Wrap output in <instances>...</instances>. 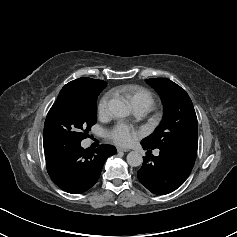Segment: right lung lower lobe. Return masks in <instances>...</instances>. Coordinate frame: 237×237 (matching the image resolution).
I'll return each instance as SVG.
<instances>
[{"mask_svg": "<svg viewBox=\"0 0 237 237\" xmlns=\"http://www.w3.org/2000/svg\"><path fill=\"white\" fill-rule=\"evenodd\" d=\"M81 142L44 137L47 171L51 179L68 193L87 191L98 180L106 159L116 153L110 145L83 149Z\"/></svg>", "mask_w": 237, "mask_h": 237, "instance_id": "right-lung-lower-lobe-1", "label": "right lung lower lobe"}]
</instances>
